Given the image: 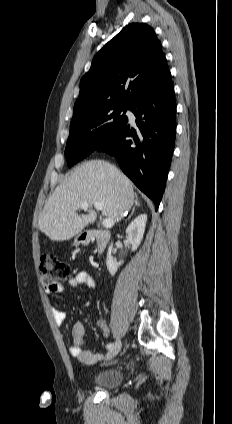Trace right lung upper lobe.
<instances>
[{
  "instance_id": "cb5924a9",
  "label": "right lung upper lobe",
  "mask_w": 232,
  "mask_h": 424,
  "mask_svg": "<svg viewBox=\"0 0 232 424\" xmlns=\"http://www.w3.org/2000/svg\"><path fill=\"white\" fill-rule=\"evenodd\" d=\"M161 43L144 23L125 26L94 57L80 81L73 117L109 105H133L169 71Z\"/></svg>"
}]
</instances>
